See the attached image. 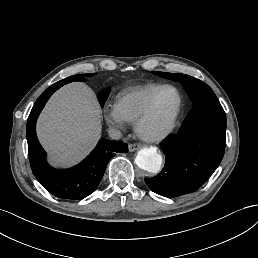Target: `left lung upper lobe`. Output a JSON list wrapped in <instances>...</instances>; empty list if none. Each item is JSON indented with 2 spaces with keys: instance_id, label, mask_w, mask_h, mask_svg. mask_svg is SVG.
I'll return each instance as SVG.
<instances>
[{
  "instance_id": "1",
  "label": "left lung upper lobe",
  "mask_w": 258,
  "mask_h": 258,
  "mask_svg": "<svg viewBox=\"0 0 258 258\" xmlns=\"http://www.w3.org/2000/svg\"><path fill=\"white\" fill-rule=\"evenodd\" d=\"M154 74L180 82L193 102L181 130H189L199 124H215L226 127V115L212 89L204 82L185 74L153 72Z\"/></svg>"
}]
</instances>
